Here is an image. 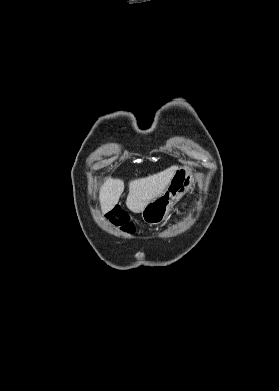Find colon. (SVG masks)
Instances as JSON below:
<instances>
[{
	"mask_svg": "<svg viewBox=\"0 0 279 391\" xmlns=\"http://www.w3.org/2000/svg\"><path fill=\"white\" fill-rule=\"evenodd\" d=\"M107 216L112 224L119 227L124 232L132 233L134 231V226L129 221L126 212L116 209L109 212Z\"/></svg>",
	"mask_w": 279,
	"mask_h": 391,
	"instance_id": "colon-1",
	"label": "colon"
}]
</instances>
